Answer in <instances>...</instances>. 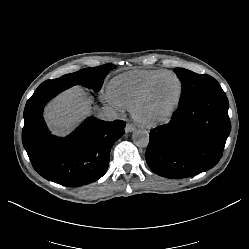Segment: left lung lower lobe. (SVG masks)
<instances>
[{"label":"left lung lower lobe","mask_w":249,"mask_h":249,"mask_svg":"<svg viewBox=\"0 0 249 249\" xmlns=\"http://www.w3.org/2000/svg\"><path fill=\"white\" fill-rule=\"evenodd\" d=\"M224 91L197 96L179 106L172 120L152 130L145 158L163 177L180 179L214 167L231 130Z\"/></svg>","instance_id":"obj_1"}]
</instances>
